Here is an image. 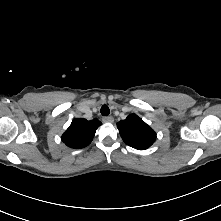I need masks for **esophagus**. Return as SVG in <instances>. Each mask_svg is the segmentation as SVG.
<instances>
[{"instance_id":"esophagus-1","label":"esophagus","mask_w":221,"mask_h":221,"mask_svg":"<svg viewBox=\"0 0 221 221\" xmlns=\"http://www.w3.org/2000/svg\"><path fill=\"white\" fill-rule=\"evenodd\" d=\"M102 120L103 122H106V123H112L114 121L112 116H104Z\"/></svg>"}]
</instances>
